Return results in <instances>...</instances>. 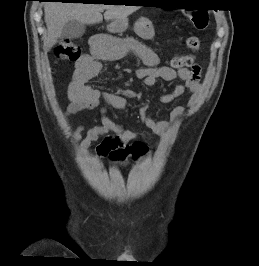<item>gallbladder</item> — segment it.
<instances>
[{
	"mask_svg": "<svg viewBox=\"0 0 259 266\" xmlns=\"http://www.w3.org/2000/svg\"><path fill=\"white\" fill-rule=\"evenodd\" d=\"M85 25L79 21L71 20L67 22L61 33L62 38L76 39L81 37L85 32Z\"/></svg>",
	"mask_w": 259,
	"mask_h": 266,
	"instance_id": "bac80fb5",
	"label": "gallbladder"
}]
</instances>
